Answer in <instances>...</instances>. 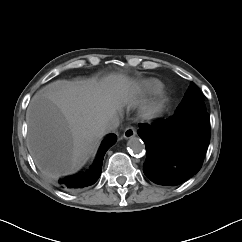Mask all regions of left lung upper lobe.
I'll return each instance as SVG.
<instances>
[{"label":"left lung upper lobe","instance_id":"5c2ea615","mask_svg":"<svg viewBox=\"0 0 242 242\" xmlns=\"http://www.w3.org/2000/svg\"><path fill=\"white\" fill-rule=\"evenodd\" d=\"M193 111H206V106L201 91L194 83H191L174 116L177 117Z\"/></svg>","mask_w":242,"mask_h":242}]
</instances>
